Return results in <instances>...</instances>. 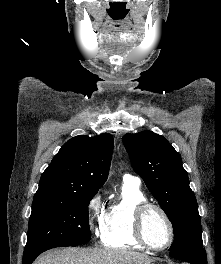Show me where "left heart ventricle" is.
I'll return each instance as SVG.
<instances>
[{"instance_id":"left-heart-ventricle-1","label":"left heart ventricle","mask_w":221,"mask_h":264,"mask_svg":"<svg viewBox=\"0 0 221 264\" xmlns=\"http://www.w3.org/2000/svg\"><path fill=\"white\" fill-rule=\"evenodd\" d=\"M144 233L147 241L156 247L164 246L169 240V228L157 210H150L144 220Z\"/></svg>"}]
</instances>
